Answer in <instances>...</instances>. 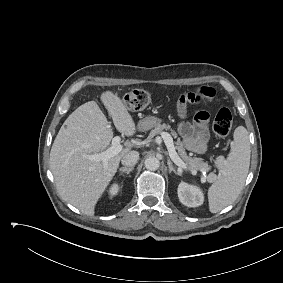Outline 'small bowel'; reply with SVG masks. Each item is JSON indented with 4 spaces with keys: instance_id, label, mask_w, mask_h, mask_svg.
<instances>
[{
    "instance_id": "1",
    "label": "small bowel",
    "mask_w": 283,
    "mask_h": 283,
    "mask_svg": "<svg viewBox=\"0 0 283 283\" xmlns=\"http://www.w3.org/2000/svg\"><path fill=\"white\" fill-rule=\"evenodd\" d=\"M204 101L203 98L197 96L194 92L182 95L178 100V113L182 121L178 125L179 134L182 137L185 147L197 154L206 151L209 139L208 120L209 115L205 111L195 114L193 123L185 120L187 115V107L190 104H197Z\"/></svg>"
}]
</instances>
